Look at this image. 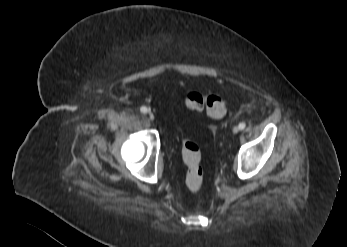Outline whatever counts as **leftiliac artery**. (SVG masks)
<instances>
[{
	"mask_svg": "<svg viewBox=\"0 0 347 247\" xmlns=\"http://www.w3.org/2000/svg\"><path fill=\"white\" fill-rule=\"evenodd\" d=\"M245 127H246V124H245L244 122H241V123L239 124V128H240L241 130H243Z\"/></svg>",
	"mask_w": 347,
	"mask_h": 247,
	"instance_id": "1",
	"label": "left iliac artery"
}]
</instances>
